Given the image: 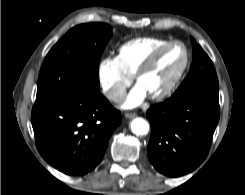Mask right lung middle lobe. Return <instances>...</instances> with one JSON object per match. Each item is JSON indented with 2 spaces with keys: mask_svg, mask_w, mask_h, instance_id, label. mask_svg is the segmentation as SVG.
<instances>
[{
  "mask_svg": "<svg viewBox=\"0 0 245 195\" xmlns=\"http://www.w3.org/2000/svg\"><path fill=\"white\" fill-rule=\"evenodd\" d=\"M111 30L104 23L81 24L69 30L44 60L35 103L99 91V60Z\"/></svg>",
  "mask_w": 245,
  "mask_h": 195,
  "instance_id": "1",
  "label": "right lung middle lobe"
}]
</instances>
